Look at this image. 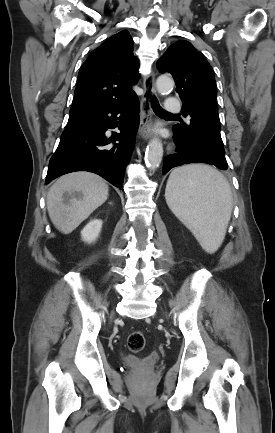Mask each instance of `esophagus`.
<instances>
[{"instance_id": "34e87169", "label": "esophagus", "mask_w": 275, "mask_h": 433, "mask_svg": "<svg viewBox=\"0 0 275 433\" xmlns=\"http://www.w3.org/2000/svg\"><path fill=\"white\" fill-rule=\"evenodd\" d=\"M143 90L139 134L143 139L147 140L152 135L151 100L156 95L155 75L153 72L145 76Z\"/></svg>"}]
</instances>
